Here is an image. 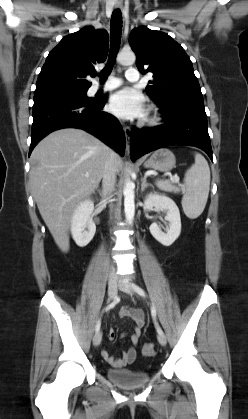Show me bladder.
Here are the masks:
<instances>
[{
	"mask_svg": "<svg viewBox=\"0 0 248 419\" xmlns=\"http://www.w3.org/2000/svg\"><path fill=\"white\" fill-rule=\"evenodd\" d=\"M106 377L119 387L133 389L144 386L150 380V373L133 368L107 369Z\"/></svg>",
	"mask_w": 248,
	"mask_h": 419,
	"instance_id": "31cf9c89",
	"label": "bladder"
}]
</instances>
